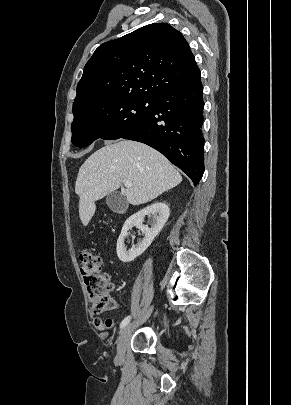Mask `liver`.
Returning a JSON list of instances; mask_svg holds the SVG:
<instances>
[{
    "label": "liver",
    "instance_id": "1",
    "mask_svg": "<svg viewBox=\"0 0 291 405\" xmlns=\"http://www.w3.org/2000/svg\"><path fill=\"white\" fill-rule=\"evenodd\" d=\"M127 180L132 182L125 190L127 201L140 205L176 187L182 176L161 153L143 143L121 140L106 144L78 172L75 192L84 226L95 213V202L119 189Z\"/></svg>",
    "mask_w": 291,
    "mask_h": 405
}]
</instances>
